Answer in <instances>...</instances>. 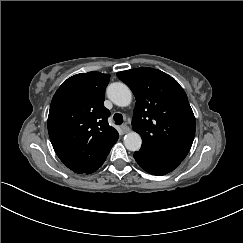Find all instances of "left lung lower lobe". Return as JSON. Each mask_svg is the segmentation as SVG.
Listing matches in <instances>:
<instances>
[{
	"label": "left lung lower lobe",
	"instance_id": "obj_1",
	"mask_svg": "<svg viewBox=\"0 0 243 243\" xmlns=\"http://www.w3.org/2000/svg\"><path fill=\"white\" fill-rule=\"evenodd\" d=\"M134 158L146 172L158 176L173 171L181 163L160 158L141 149L134 153Z\"/></svg>",
	"mask_w": 243,
	"mask_h": 243
}]
</instances>
